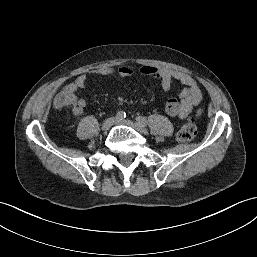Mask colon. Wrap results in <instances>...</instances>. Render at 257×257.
<instances>
[{
    "instance_id": "obj_1",
    "label": "colon",
    "mask_w": 257,
    "mask_h": 257,
    "mask_svg": "<svg viewBox=\"0 0 257 257\" xmlns=\"http://www.w3.org/2000/svg\"><path fill=\"white\" fill-rule=\"evenodd\" d=\"M55 104L58 107H69L72 109L76 108V101L73 95L67 92L59 94L55 100ZM196 134V119L190 118L185 122V124L182 125V127L178 131L177 140L180 142H189L195 138Z\"/></svg>"
}]
</instances>
